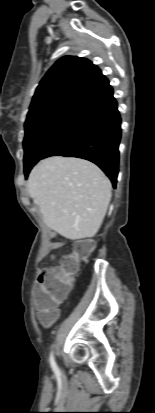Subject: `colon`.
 I'll use <instances>...</instances> for the list:
<instances>
[{
    "mask_svg": "<svg viewBox=\"0 0 155 413\" xmlns=\"http://www.w3.org/2000/svg\"><path fill=\"white\" fill-rule=\"evenodd\" d=\"M94 243L90 240L75 243L73 251L66 254L59 265L51 264L43 273L40 283L44 291L38 305L53 308L70 289L73 277L78 273L82 262L92 253Z\"/></svg>",
    "mask_w": 155,
    "mask_h": 413,
    "instance_id": "obj_1",
    "label": "colon"
}]
</instances>
